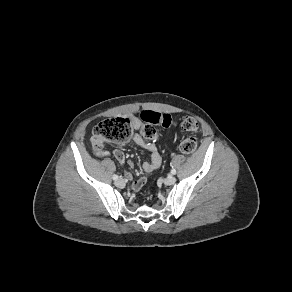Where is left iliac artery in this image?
Listing matches in <instances>:
<instances>
[{
	"label": "left iliac artery",
	"instance_id": "1",
	"mask_svg": "<svg viewBox=\"0 0 292 292\" xmlns=\"http://www.w3.org/2000/svg\"><path fill=\"white\" fill-rule=\"evenodd\" d=\"M171 174H173V175L176 174V170L175 169H172L171 170Z\"/></svg>",
	"mask_w": 292,
	"mask_h": 292
}]
</instances>
